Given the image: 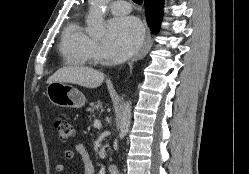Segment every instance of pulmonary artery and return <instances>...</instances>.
Here are the masks:
<instances>
[{
    "instance_id": "e3ab8cb5",
    "label": "pulmonary artery",
    "mask_w": 249,
    "mask_h": 174,
    "mask_svg": "<svg viewBox=\"0 0 249 174\" xmlns=\"http://www.w3.org/2000/svg\"><path fill=\"white\" fill-rule=\"evenodd\" d=\"M108 9L115 15L127 14L131 11V6L123 0L113 1L108 5Z\"/></svg>"
}]
</instances>
